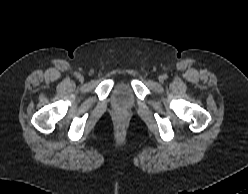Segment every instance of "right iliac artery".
Segmentation results:
<instances>
[{"label":"right iliac artery","instance_id":"82829eb1","mask_svg":"<svg viewBox=\"0 0 248 194\" xmlns=\"http://www.w3.org/2000/svg\"><path fill=\"white\" fill-rule=\"evenodd\" d=\"M75 75H76V77H78V78L81 76L79 73H76Z\"/></svg>","mask_w":248,"mask_h":194}]
</instances>
